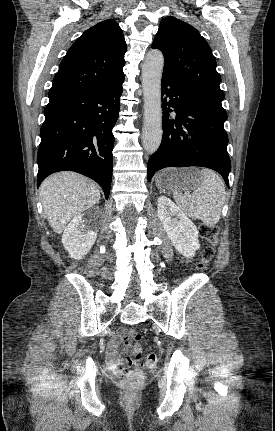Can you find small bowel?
<instances>
[{"instance_id": "c3829d8e", "label": "small bowel", "mask_w": 275, "mask_h": 431, "mask_svg": "<svg viewBox=\"0 0 275 431\" xmlns=\"http://www.w3.org/2000/svg\"><path fill=\"white\" fill-rule=\"evenodd\" d=\"M122 341H125L127 356L120 361L118 358L117 349ZM133 353V347L127 340V333L124 330H119V332L111 339L107 348V358L109 367L112 370H117V368L123 363L130 362V355Z\"/></svg>"}]
</instances>
